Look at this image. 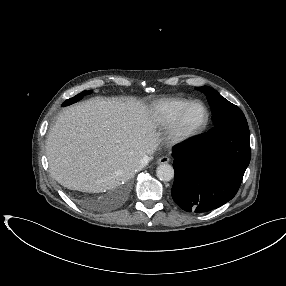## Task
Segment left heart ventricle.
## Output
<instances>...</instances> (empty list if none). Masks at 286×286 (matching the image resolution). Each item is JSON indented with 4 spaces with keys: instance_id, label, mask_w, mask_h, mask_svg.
<instances>
[{
    "instance_id": "b2bd125f",
    "label": "left heart ventricle",
    "mask_w": 286,
    "mask_h": 286,
    "mask_svg": "<svg viewBox=\"0 0 286 286\" xmlns=\"http://www.w3.org/2000/svg\"><path fill=\"white\" fill-rule=\"evenodd\" d=\"M205 119V111L201 105L194 106L187 115L185 127L192 129L200 126Z\"/></svg>"
}]
</instances>
